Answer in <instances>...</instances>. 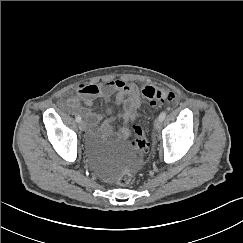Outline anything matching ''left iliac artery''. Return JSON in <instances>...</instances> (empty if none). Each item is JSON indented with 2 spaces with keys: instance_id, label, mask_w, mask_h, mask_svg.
<instances>
[{
  "instance_id": "44dca946",
  "label": "left iliac artery",
  "mask_w": 243,
  "mask_h": 243,
  "mask_svg": "<svg viewBox=\"0 0 243 243\" xmlns=\"http://www.w3.org/2000/svg\"><path fill=\"white\" fill-rule=\"evenodd\" d=\"M165 117H166V111H162L159 115L160 120L163 121Z\"/></svg>"
}]
</instances>
